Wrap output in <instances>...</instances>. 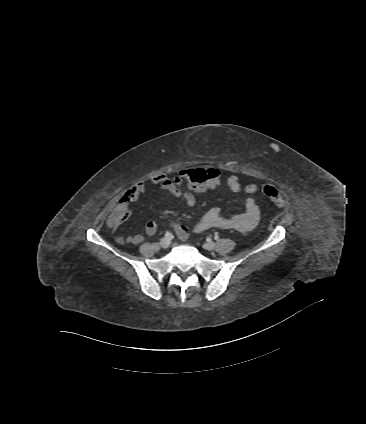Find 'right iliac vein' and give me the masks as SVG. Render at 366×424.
Wrapping results in <instances>:
<instances>
[{
  "label": "right iliac vein",
  "instance_id": "1",
  "mask_svg": "<svg viewBox=\"0 0 366 424\" xmlns=\"http://www.w3.org/2000/svg\"><path fill=\"white\" fill-rule=\"evenodd\" d=\"M170 243H171V241H170V239H169V238H167V237L163 238V239L160 241V245H161V247H162V248H167V247H169Z\"/></svg>",
  "mask_w": 366,
  "mask_h": 424
}]
</instances>
